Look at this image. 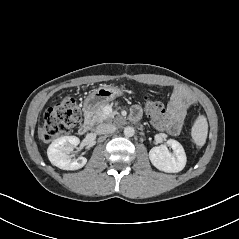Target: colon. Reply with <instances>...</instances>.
Instances as JSON below:
<instances>
[{
	"mask_svg": "<svg viewBox=\"0 0 239 239\" xmlns=\"http://www.w3.org/2000/svg\"><path fill=\"white\" fill-rule=\"evenodd\" d=\"M143 98L148 112L149 125L155 131L169 133L170 118L164 111L163 105L151 100L148 95H144ZM81 118V111L76 101L66 98L45 111L39 128V136L43 141H51L69 132L80 122Z\"/></svg>",
	"mask_w": 239,
	"mask_h": 239,
	"instance_id": "5ec220e1",
	"label": "colon"
}]
</instances>
